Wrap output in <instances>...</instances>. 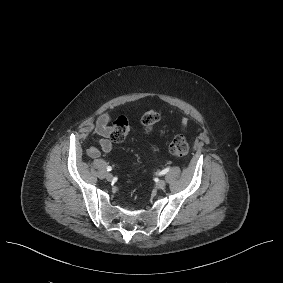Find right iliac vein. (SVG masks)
<instances>
[{
	"label": "right iliac vein",
	"mask_w": 283,
	"mask_h": 283,
	"mask_svg": "<svg viewBox=\"0 0 283 283\" xmlns=\"http://www.w3.org/2000/svg\"><path fill=\"white\" fill-rule=\"evenodd\" d=\"M106 180L107 181H112L113 180V175L111 173L106 174Z\"/></svg>",
	"instance_id": "63e3f726"
}]
</instances>
